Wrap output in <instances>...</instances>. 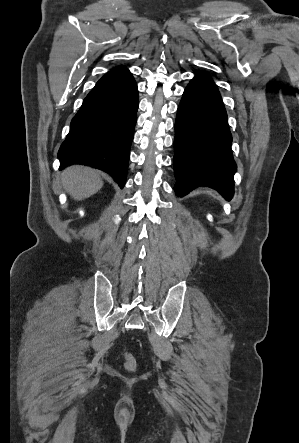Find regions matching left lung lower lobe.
I'll return each mask as SVG.
<instances>
[{"label": "left lung lower lobe", "instance_id": "0a47b994", "mask_svg": "<svg viewBox=\"0 0 299 443\" xmlns=\"http://www.w3.org/2000/svg\"><path fill=\"white\" fill-rule=\"evenodd\" d=\"M231 142L220 93L209 76L197 74L183 93L175 122L176 195L208 186L231 200L236 172Z\"/></svg>", "mask_w": 299, "mask_h": 443}]
</instances>
